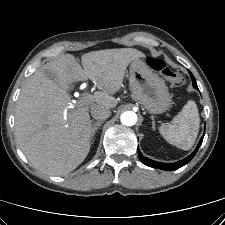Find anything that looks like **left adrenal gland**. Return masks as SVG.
Here are the masks:
<instances>
[{
    "mask_svg": "<svg viewBox=\"0 0 225 225\" xmlns=\"http://www.w3.org/2000/svg\"><path fill=\"white\" fill-rule=\"evenodd\" d=\"M151 119H152V129L155 130V121H154V117L152 116Z\"/></svg>",
    "mask_w": 225,
    "mask_h": 225,
    "instance_id": "left-adrenal-gland-1",
    "label": "left adrenal gland"
}]
</instances>
